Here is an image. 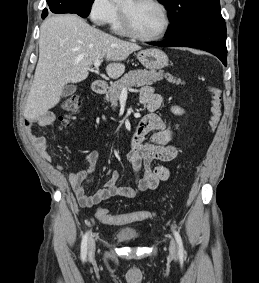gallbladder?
<instances>
[{"label":"gallbladder","mask_w":259,"mask_h":283,"mask_svg":"<svg viewBox=\"0 0 259 283\" xmlns=\"http://www.w3.org/2000/svg\"><path fill=\"white\" fill-rule=\"evenodd\" d=\"M76 92V86L75 85H67L64 87L61 96L62 97H68L71 96Z\"/></svg>","instance_id":"obj_1"}]
</instances>
